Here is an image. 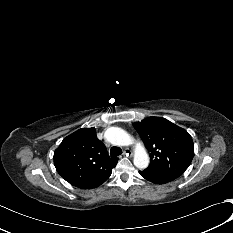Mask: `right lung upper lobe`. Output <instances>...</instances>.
Returning <instances> with one entry per match:
<instances>
[{"instance_id": "1", "label": "right lung upper lobe", "mask_w": 233, "mask_h": 233, "mask_svg": "<svg viewBox=\"0 0 233 233\" xmlns=\"http://www.w3.org/2000/svg\"><path fill=\"white\" fill-rule=\"evenodd\" d=\"M118 158L110 159L95 128H82L63 139L54 152L58 173L81 189L100 186L111 175Z\"/></svg>"}]
</instances>
